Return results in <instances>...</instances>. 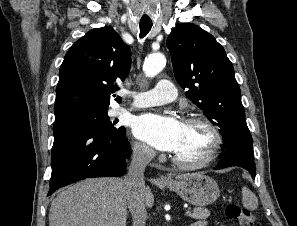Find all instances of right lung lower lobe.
Listing matches in <instances>:
<instances>
[{
  "label": "right lung lower lobe",
  "instance_id": "obj_1",
  "mask_svg": "<svg viewBox=\"0 0 297 226\" xmlns=\"http://www.w3.org/2000/svg\"><path fill=\"white\" fill-rule=\"evenodd\" d=\"M48 196L70 183L125 174L131 147L123 134H108L73 121H56Z\"/></svg>",
  "mask_w": 297,
  "mask_h": 226
}]
</instances>
